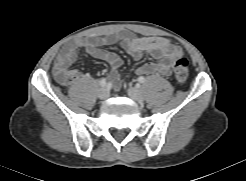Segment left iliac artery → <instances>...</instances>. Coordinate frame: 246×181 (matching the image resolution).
<instances>
[{
	"label": "left iliac artery",
	"instance_id": "1",
	"mask_svg": "<svg viewBox=\"0 0 246 181\" xmlns=\"http://www.w3.org/2000/svg\"><path fill=\"white\" fill-rule=\"evenodd\" d=\"M138 82H139V83H144V82H145V78H144L143 76H140V77L138 78Z\"/></svg>",
	"mask_w": 246,
	"mask_h": 181
}]
</instances>
